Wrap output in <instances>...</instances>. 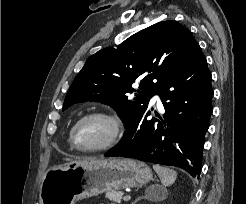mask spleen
Listing matches in <instances>:
<instances>
[{
  "mask_svg": "<svg viewBox=\"0 0 246 204\" xmlns=\"http://www.w3.org/2000/svg\"><path fill=\"white\" fill-rule=\"evenodd\" d=\"M153 169L155 172L158 174L161 183L165 186L168 187L172 185L176 178H177V173L173 169H170L168 167H164L161 165L154 164Z\"/></svg>",
  "mask_w": 246,
  "mask_h": 204,
  "instance_id": "obj_1",
  "label": "spleen"
}]
</instances>
